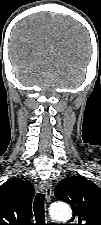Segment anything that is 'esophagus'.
Listing matches in <instances>:
<instances>
[{"mask_svg": "<svg viewBox=\"0 0 101 225\" xmlns=\"http://www.w3.org/2000/svg\"><path fill=\"white\" fill-rule=\"evenodd\" d=\"M40 190L45 194V198L47 201L50 200L52 194V185L49 181H42L40 183Z\"/></svg>", "mask_w": 101, "mask_h": 225, "instance_id": "34e87169", "label": "esophagus"}]
</instances>
